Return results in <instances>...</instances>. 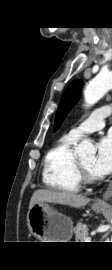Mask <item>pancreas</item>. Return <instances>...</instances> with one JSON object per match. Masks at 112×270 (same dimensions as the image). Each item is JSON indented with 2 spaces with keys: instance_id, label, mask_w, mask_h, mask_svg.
Here are the masks:
<instances>
[{
  "instance_id": "1",
  "label": "pancreas",
  "mask_w": 112,
  "mask_h": 270,
  "mask_svg": "<svg viewBox=\"0 0 112 270\" xmlns=\"http://www.w3.org/2000/svg\"><path fill=\"white\" fill-rule=\"evenodd\" d=\"M76 242H85V239L88 237V228L87 225L78 222L74 228Z\"/></svg>"
}]
</instances>
